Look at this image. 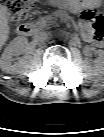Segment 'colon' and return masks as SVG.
<instances>
[{"mask_svg":"<svg viewBox=\"0 0 104 137\" xmlns=\"http://www.w3.org/2000/svg\"><path fill=\"white\" fill-rule=\"evenodd\" d=\"M4 8L12 21L19 22L27 18L33 7L34 0H2ZM81 21L90 34L91 41L96 45H102L104 41V17L92 9L82 12Z\"/></svg>","mask_w":104,"mask_h":137,"instance_id":"colon-1","label":"colon"}]
</instances>
